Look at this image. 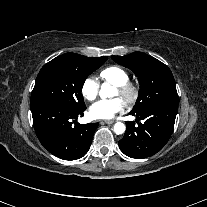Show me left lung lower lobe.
I'll return each instance as SVG.
<instances>
[{"label": "left lung lower lobe", "mask_w": 207, "mask_h": 207, "mask_svg": "<svg viewBox=\"0 0 207 207\" xmlns=\"http://www.w3.org/2000/svg\"><path fill=\"white\" fill-rule=\"evenodd\" d=\"M178 106L156 105L142 113H131L137 116L135 126L128 121L124 137L119 141L121 151L136 159L146 158L161 150L169 140L175 123ZM143 119L144 123H139Z\"/></svg>", "instance_id": "1"}]
</instances>
